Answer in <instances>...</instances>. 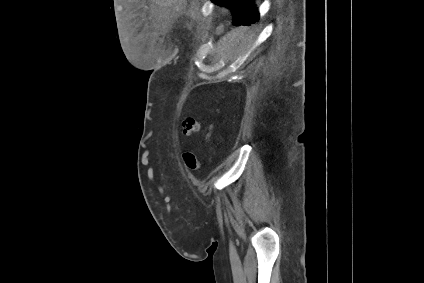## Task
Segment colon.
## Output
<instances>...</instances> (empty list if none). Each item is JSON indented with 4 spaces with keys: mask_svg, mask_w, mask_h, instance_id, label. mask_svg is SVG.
<instances>
[{
    "mask_svg": "<svg viewBox=\"0 0 424 283\" xmlns=\"http://www.w3.org/2000/svg\"><path fill=\"white\" fill-rule=\"evenodd\" d=\"M200 129V123L198 119L194 117H187L182 121V133L186 136L197 133ZM183 161L187 168L190 170H197L200 168V162L196 156L191 152H185L183 154Z\"/></svg>",
    "mask_w": 424,
    "mask_h": 283,
    "instance_id": "obj_1",
    "label": "colon"
}]
</instances>
